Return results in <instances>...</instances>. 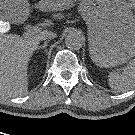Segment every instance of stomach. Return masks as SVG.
I'll return each instance as SVG.
<instances>
[{
  "instance_id": "stomach-1",
  "label": "stomach",
  "mask_w": 135,
  "mask_h": 135,
  "mask_svg": "<svg viewBox=\"0 0 135 135\" xmlns=\"http://www.w3.org/2000/svg\"><path fill=\"white\" fill-rule=\"evenodd\" d=\"M47 1L53 4L50 10L60 9L56 4L65 3ZM3 2L14 15L26 17L29 13L27 0ZM79 11L88 26L91 58L98 66L114 67L135 56V15L126 0H80Z\"/></svg>"
}]
</instances>
